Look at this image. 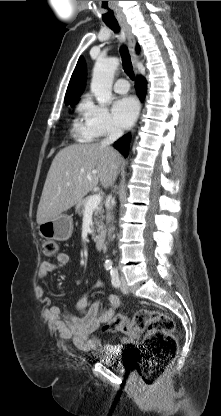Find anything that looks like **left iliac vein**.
Wrapping results in <instances>:
<instances>
[{
    "label": "left iliac vein",
    "mask_w": 221,
    "mask_h": 416,
    "mask_svg": "<svg viewBox=\"0 0 221 416\" xmlns=\"http://www.w3.org/2000/svg\"><path fill=\"white\" fill-rule=\"evenodd\" d=\"M120 280H121V286H120L121 291H122L124 294L129 293V288H128V286H127V283H126V280H125L124 276H122Z\"/></svg>",
    "instance_id": "obj_1"
}]
</instances>
